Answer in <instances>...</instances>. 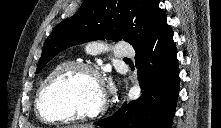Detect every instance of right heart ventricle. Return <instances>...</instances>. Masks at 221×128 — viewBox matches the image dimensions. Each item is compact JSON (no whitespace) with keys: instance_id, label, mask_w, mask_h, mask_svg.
Listing matches in <instances>:
<instances>
[{"instance_id":"e07e8e85","label":"right heart ventricle","mask_w":221,"mask_h":128,"mask_svg":"<svg viewBox=\"0 0 221 128\" xmlns=\"http://www.w3.org/2000/svg\"><path fill=\"white\" fill-rule=\"evenodd\" d=\"M68 63L67 59H61L59 60L48 72V74L46 75L45 79L51 75L52 73H54L55 71H57L58 69H60L61 67H63L64 65H66Z\"/></svg>"}]
</instances>
